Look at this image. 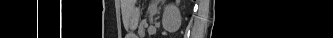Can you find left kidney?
Instances as JSON below:
<instances>
[{"label": "left kidney", "mask_w": 333, "mask_h": 38, "mask_svg": "<svg viewBox=\"0 0 333 38\" xmlns=\"http://www.w3.org/2000/svg\"><path fill=\"white\" fill-rule=\"evenodd\" d=\"M162 25L169 32H174L180 27L181 13L175 4L167 5L164 8Z\"/></svg>", "instance_id": "left-kidney-1"}]
</instances>
